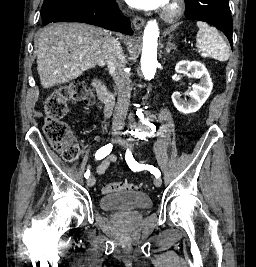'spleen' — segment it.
<instances>
[{
  "label": "spleen",
  "mask_w": 256,
  "mask_h": 267,
  "mask_svg": "<svg viewBox=\"0 0 256 267\" xmlns=\"http://www.w3.org/2000/svg\"><path fill=\"white\" fill-rule=\"evenodd\" d=\"M197 26L196 48H199V52L206 54L207 58L227 62L230 50L218 30L211 28L206 22H197Z\"/></svg>",
  "instance_id": "obj_1"
}]
</instances>
